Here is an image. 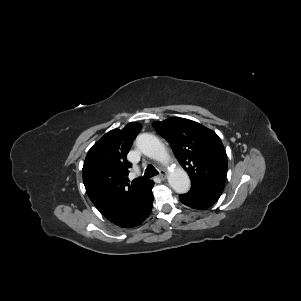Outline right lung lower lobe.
Returning a JSON list of instances; mask_svg holds the SVG:
<instances>
[{"instance_id":"obj_1","label":"right lung lower lobe","mask_w":301,"mask_h":301,"mask_svg":"<svg viewBox=\"0 0 301 301\" xmlns=\"http://www.w3.org/2000/svg\"><path fill=\"white\" fill-rule=\"evenodd\" d=\"M153 181H149L143 194L133 210V212L119 225L120 227L130 228L140 225L150 214L153 204L152 188Z\"/></svg>"}]
</instances>
